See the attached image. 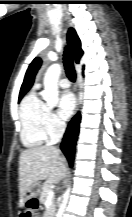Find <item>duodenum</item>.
<instances>
[{
    "instance_id": "1",
    "label": "duodenum",
    "mask_w": 132,
    "mask_h": 217,
    "mask_svg": "<svg viewBox=\"0 0 132 217\" xmlns=\"http://www.w3.org/2000/svg\"><path fill=\"white\" fill-rule=\"evenodd\" d=\"M49 217H54L53 215H50Z\"/></svg>"
}]
</instances>
